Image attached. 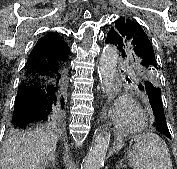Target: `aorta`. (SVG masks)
Here are the masks:
<instances>
[{
    "instance_id": "1",
    "label": "aorta",
    "mask_w": 177,
    "mask_h": 169,
    "mask_svg": "<svg viewBox=\"0 0 177 169\" xmlns=\"http://www.w3.org/2000/svg\"><path fill=\"white\" fill-rule=\"evenodd\" d=\"M118 50L115 46L104 48L100 57V75L109 93L116 74ZM110 143L108 128L102 129L95 134L93 145L86 157L84 169H101L104 165L106 153Z\"/></svg>"
}]
</instances>
